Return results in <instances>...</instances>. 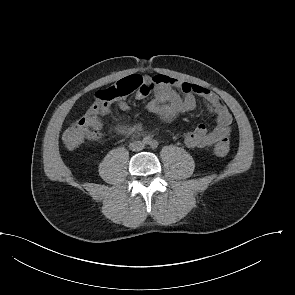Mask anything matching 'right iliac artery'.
<instances>
[{
    "label": "right iliac artery",
    "instance_id": "obj_1",
    "mask_svg": "<svg viewBox=\"0 0 295 295\" xmlns=\"http://www.w3.org/2000/svg\"><path fill=\"white\" fill-rule=\"evenodd\" d=\"M143 143H144V144H150V143H151V139H150V137H145V138H143Z\"/></svg>",
    "mask_w": 295,
    "mask_h": 295
}]
</instances>
